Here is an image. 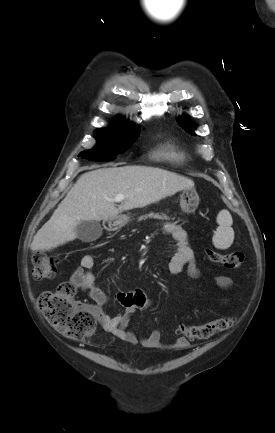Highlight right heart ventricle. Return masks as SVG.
Listing matches in <instances>:
<instances>
[{
  "label": "right heart ventricle",
  "mask_w": 275,
  "mask_h": 433,
  "mask_svg": "<svg viewBox=\"0 0 275 433\" xmlns=\"http://www.w3.org/2000/svg\"><path fill=\"white\" fill-rule=\"evenodd\" d=\"M166 158L174 160V161H182L184 159V155L182 152L178 151L174 147H169L163 154Z\"/></svg>",
  "instance_id": "e07e8e85"
}]
</instances>
